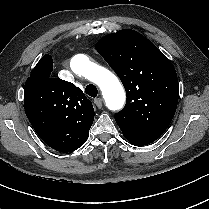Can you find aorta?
<instances>
[{
    "instance_id": "1",
    "label": "aorta",
    "mask_w": 209,
    "mask_h": 209,
    "mask_svg": "<svg viewBox=\"0 0 209 209\" xmlns=\"http://www.w3.org/2000/svg\"><path fill=\"white\" fill-rule=\"evenodd\" d=\"M70 66L75 73L99 86L109 109L118 110L123 106L125 100L123 87L111 71L91 62L84 54L72 57Z\"/></svg>"
}]
</instances>
